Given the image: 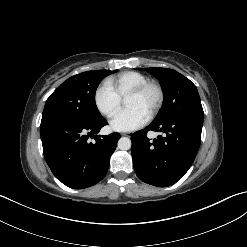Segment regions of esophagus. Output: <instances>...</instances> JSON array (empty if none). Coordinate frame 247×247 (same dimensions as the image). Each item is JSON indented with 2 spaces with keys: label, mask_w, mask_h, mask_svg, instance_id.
Listing matches in <instances>:
<instances>
[{
  "label": "esophagus",
  "mask_w": 247,
  "mask_h": 247,
  "mask_svg": "<svg viewBox=\"0 0 247 247\" xmlns=\"http://www.w3.org/2000/svg\"><path fill=\"white\" fill-rule=\"evenodd\" d=\"M122 135H123V136L130 137V136L132 135V133H131V132H127V133H123Z\"/></svg>",
  "instance_id": "obj_1"
}]
</instances>
